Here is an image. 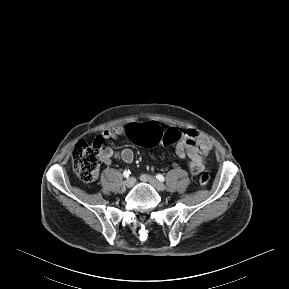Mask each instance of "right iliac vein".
Listing matches in <instances>:
<instances>
[{
	"mask_svg": "<svg viewBox=\"0 0 289 289\" xmlns=\"http://www.w3.org/2000/svg\"><path fill=\"white\" fill-rule=\"evenodd\" d=\"M134 184H135V179L133 177H130L126 181H124V186L127 188L133 187Z\"/></svg>",
	"mask_w": 289,
	"mask_h": 289,
	"instance_id": "1",
	"label": "right iliac vein"
}]
</instances>
